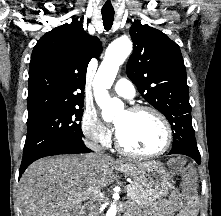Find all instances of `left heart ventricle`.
<instances>
[{
	"instance_id": "obj_1",
	"label": "left heart ventricle",
	"mask_w": 221,
	"mask_h": 216,
	"mask_svg": "<svg viewBox=\"0 0 221 216\" xmlns=\"http://www.w3.org/2000/svg\"><path fill=\"white\" fill-rule=\"evenodd\" d=\"M121 142L128 148L142 152L159 150L165 142L162 123L150 113L122 112L115 121Z\"/></svg>"
}]
</instances>
